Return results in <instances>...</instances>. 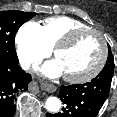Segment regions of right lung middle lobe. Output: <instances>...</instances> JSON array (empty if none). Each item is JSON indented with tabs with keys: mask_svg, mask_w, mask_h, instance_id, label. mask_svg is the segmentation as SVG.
Here are the masks:
<instances>
[{
	"mask_svg": "<svg viewBox=\"0 0 117 117\" xmlns=\"http://www.w3.org/2000/svg\"><path fill=\"white\" fill-rule=\"evenodd\" d=\"M36 13L16 10L0 12V59L8 62L18 61L15 51V35L20 26Z\"/></svg>",
	"mask_w": 117,
	"mask_h": 117,
	"instance_id": "dd1d6c3e",
	"label": "right lung middle lobe"
}]
</instances>
